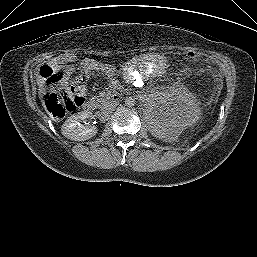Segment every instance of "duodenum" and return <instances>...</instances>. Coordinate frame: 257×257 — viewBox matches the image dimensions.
I'll list each match as a JSON object with an SVG mask.
<instances>
[{"label":"duodenum","mask_w":257,"mask_h":257,"mask_svg":"<svg viewBox=\"0 0 257 257\" xmlns=\"http://www.w3.org/2000/svg\"><path fill=\"white\" fill-rule=\"evenodd\" d=\"M121 98V93L116 90L112 92L107 98H106V103H114L117 102ZM98 108L97 102L95 101H89L85 104V109L88 112H93Z\"/></svg>","instance_id":"obj_1"}]
</instances>
